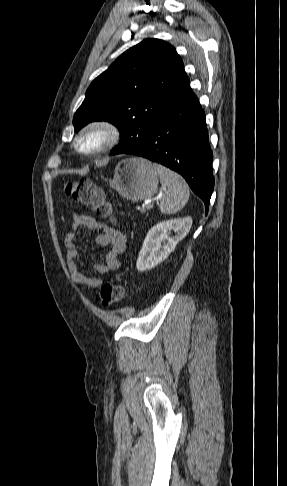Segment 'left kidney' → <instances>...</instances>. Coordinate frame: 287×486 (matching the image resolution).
I'll return each mask as SVG.
<instances>
[{
  "mask_svg": "<svg viewBox=\"0 0 287 486\" xmlns=\"http://www.w3.org/2000/svg\"><path fill=\"white\" fill-rule=\"evenodd\" d=\"M191 226V217L171 219L154 225L148 231L139 252L137 270L140 272L150 270L164 261L174 251L176 245L185 238ZM171 231L175 232L174 236H171Z\"/></svg>",
  "mask_w": 287,
  "mask_h": 486,
  "instance_id": "left-kidney-1",
  "label": "left kidney"
}]
</instances>
